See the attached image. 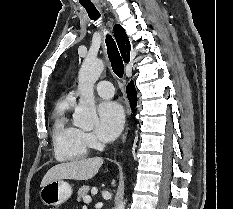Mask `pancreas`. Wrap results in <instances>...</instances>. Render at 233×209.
<instances>
[{
	"mask_svg": "<svg viewBox=\"0 0 233 209\" xmlns=\"http://www.w3.org/2000/svg\"><path fill=\"white\" fill-rule=\"evenodd\" d=\"M89 190V186H82L77 192V200L80 201L81 199H84V197L88 196Z\"/></svg>",
	"mask_w": 233,
	"mask_h": 209,
	"instance_id": "1",
	"label": "pancreas"
}]
</instances>
